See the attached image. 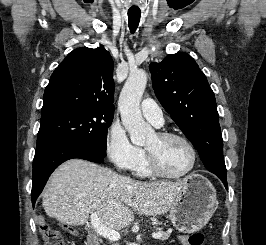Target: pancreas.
Returning <instances> with one entry per match:
<instances>
[{"mask_svg":"<svg viewBox=\"0 0 266 245\" xmlns=\"http://www.w3.org/2000/svg\"><path fill=\"white\" fill-rule=\"evenodd\" d=\"M156 233H161L162 237H160L159 241H167L169 239L171 233L170 231H162V229H156Z\"/></svg>","mask_w":266,"mask_h":245,"instance_id":"pancreas-1","label":"pancreas"}]
</instances>
